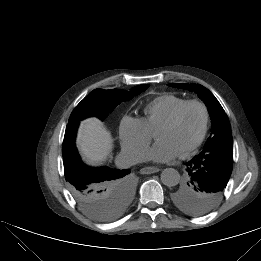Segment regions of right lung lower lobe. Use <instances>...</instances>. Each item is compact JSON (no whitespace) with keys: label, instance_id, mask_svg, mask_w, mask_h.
Here are the masks:
<instances>
[{"label":"right lung lower lobe","instance_id":"98d812e1","mask_svg":"<svg viewBox=\"0 0 261 261\" xmlns=\"http://www.w3.org/2000/svg\"><path fill=\"white\" fill-rule=\"evenodd\" d=\"M78 125L79 121L77 120L69 122L64 135L62 154L64 171L67 177L71 176L72 174H78L80 177H82V183H97L106 178L130 173L129 170L121 171L107 167L96 169L85 166L81 162L74 143Z\"/></svg>","mask_w":261,"mask_h":261}]
</instances>
